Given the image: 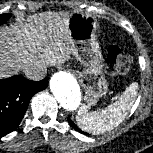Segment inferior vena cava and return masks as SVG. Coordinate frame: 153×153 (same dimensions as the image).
Wrapping results in <instances>:
<instances>
[{
    "mask_svg": "<svg viewBox=\"0 0 153 153\" xmlns=\"http://www.w3.org/2000/svg\"><path fill=\"white\" fill-rule=\"evenodd\" d=\"M26 77L30 80H41L47 73L46 64L43 62L32 63L24 68Z\"/></svg>",
    "mask_w": 153,
    "mask_h": 153,
    "instance_id": "obj_1",
    "label": "inferior vena cava"
}]
</instances>
